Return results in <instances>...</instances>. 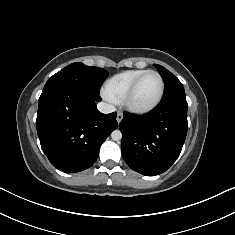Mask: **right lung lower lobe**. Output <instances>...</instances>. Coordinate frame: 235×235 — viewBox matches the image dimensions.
Returning a JSON list of instances; mask_svg holds the SVG:
<instances>
[{"label":"right lung lower lobe","instance_id":"1","mask_svg":"<svg viewBox=\"0 0 235 235\" xmlns=\"http://www.w3.org/2000/svg\"><path fill=\"white\" fill-rule=\"evenodd\" d=\"M99 94L74 86L42 92L36 127L41 147L57 169L75 173L93 165L104 140L118 126L116 112L96 108Z\"/></svg>","mask_w":235,"mask_h":235}]
</instances>
